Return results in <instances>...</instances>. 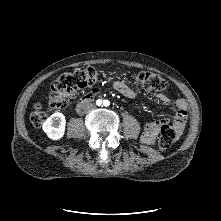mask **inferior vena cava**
Instances as JSON below:
<instances>
[{"instance_id":"1","label":"inferior vena cava","mask_w":221,"mask_h":221,"mask_svg":"<svg viewBox=\"0 0 221 221\" xmlns=\"http://www.w3.org/2000/svg\"><path fill=\"white\" fill-rule=\"evenodd\" d=\"M95 108H96V105H95V104L89 103V104H87V105L85 106L84 111H85L86 113H88V112L94 110Z\"/></svg>"}]
</instances>
